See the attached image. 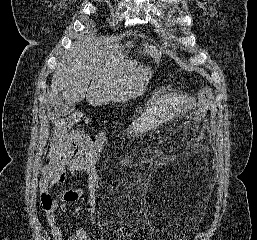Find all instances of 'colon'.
<instances>
[{"mask_svg": "<svg viewBox=\"0 0 257 240\" xmlns=\"http://www.w3.org/2000/svg\"><path fill=\"white\" fill-rule=\"evenodd\" d=\"M211 100L212 91L209 88H205L200 91L196 107L192 111L186 124V131L189 136H195L199 133L202 119L207 112ZM42 204L45 208L52 206L53 200L49 194L42 196Z\"/></svg>", "mask_w": 257, "mask_h": 240, "instance_id": "1", "label": "colon"}]
</instances>
